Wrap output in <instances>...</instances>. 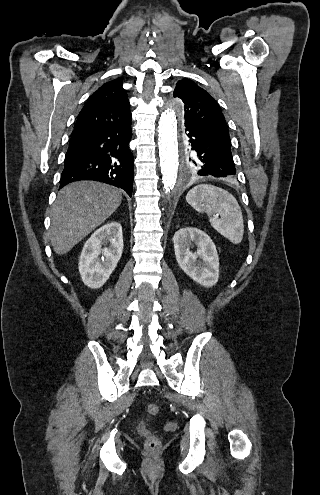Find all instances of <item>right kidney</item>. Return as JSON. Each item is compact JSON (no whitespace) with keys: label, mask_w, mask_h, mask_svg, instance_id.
I'll return each instance as SVG.
<instances>
[{"label":"right kidney","mask_w":320,"mask_h":495,"mask_svg":"<svg viewBox=\"0 0 320 495\" xmlns=\"http://www.w3.org/2000/svg\"><path fill=\"white\" fill-rule=\"evenodd\" d=\"M122 252L120 223L110 222L97 229L85 243L80 255L79 272L83 283L92 289L102 287L116 268Z\"/></svg>","instance_id":"ca27d5eb"}]
</instances>
